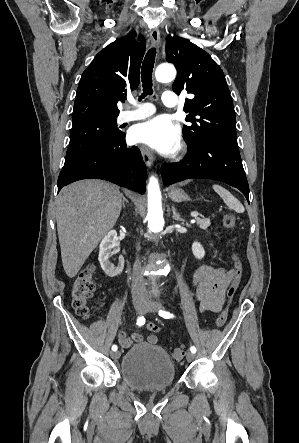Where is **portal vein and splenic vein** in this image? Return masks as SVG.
<instances>
[{
	"label": "portal vein and splenic vein",
	"mask_w": 299,
	"mask_h": 443,
	"mask_svg": "<svg viewBox=\"0 0 299 443\" xmlns=\"http://www.w3.org/2000/svg\"><path fill=\"white\" fill-rule=\"evenodd\" d=\"M199 213L198 212H192L191 216L194 218H198Z\"/></svg>",
	"instance_id": "portal-vein-and-splenic-vein-1"
}]
</instances>
